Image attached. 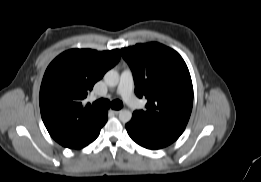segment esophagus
Masks as SVG:
<instances>
[{
	"mask_svg": "<svg viewBox=\"0 0 261 182\" xmlns=\"http://www.w3.org/2000/svg\"><path fill=\"white\" fill-rule=\"evenodd\" d=\"M110 112L113 113V114H118V113H120V110H112V109H110Z\"/></svg>",
	"mask_w": 261,
	"mask_h": 182,
	"instance_id": "1",
	"label": "esophagus"
}]
</instances>
